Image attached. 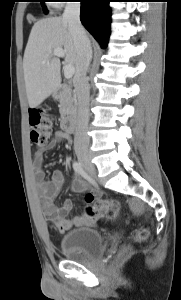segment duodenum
<instances>
[{
	"label": "duodenum",
	"mask_w": 181,
	"mask_h": 300,
	"mask_svg": "<svg viewBox=\"0 0 181 300\" xmlns=\"http://www.w3.org/2000/svg\"><path fill=\"white\" fill-rule=\"evenodd\" d=\"M61 86L55 88L51 94L52 99H56L59 96L61 91ZM62 127L64 131L68 134H72L74 132V119L71 115H66L62 121Z\"/></svg>",
	"instance_id": "obj_1"
}]
</instances>
